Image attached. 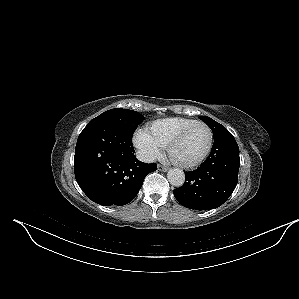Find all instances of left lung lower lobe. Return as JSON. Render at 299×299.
I'll list each match as a JSON object with an SVG mask.
<instances>
[{"mask_svg": "<svg viewBox=\"0 0 299 299\" xmlns=\"http://www.w3.org/2000/svg\"><path fill=\"white\" fill-rule=\"evenodd\" d=\"M239 166V147L234 136L224 130L214 135L211 153L203 164L185 172V183L174 190V196L186 208L200 211L218 208L234 191Z\"/></svg>", "mask_w": 299, "mask_h": 299, "instance_id": "left-lung-lower-lobe-1", "label": "left lung lower lobe"}]
</instances>
